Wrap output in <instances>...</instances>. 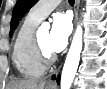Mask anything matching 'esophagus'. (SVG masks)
<instances>
[{
	"instance_id": "esophagus-1",
	"label": "esophagus",
	"mask_w": 107,
	"mask_h": 89,
	"mask_svg": "<svg viewBox=\"0 0 107 89\" xmlns=\"http://www.w3.org/2000/svg\"><path fill=\"white\" fill-rule=\"evenodd\" d=\"M78 6H79V0H75V7H74V23H76L77 16H78Z\"/></svg>"
}]
</instances>
